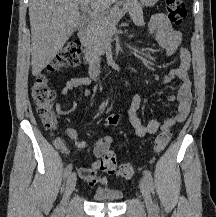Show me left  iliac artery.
I'll return each mask as SVG.
<instances>
[{"label": "left iliac artery", "mask_w": 216, "mask_h": 217, "mask_svg": "<svg viewBox=\"0 0 216 217\" xmlns=\"http://www.w3.org/2000/svg\"><path fill=\"white\" fill-rule=\"evenodd\" d=\"M145 179L151 189V192L154 194V183L151 172L149 170H144ZM157 207V206H156Z\"/></svg>", "instance_id": "left-iliac-artery-1"}]
</instances>
